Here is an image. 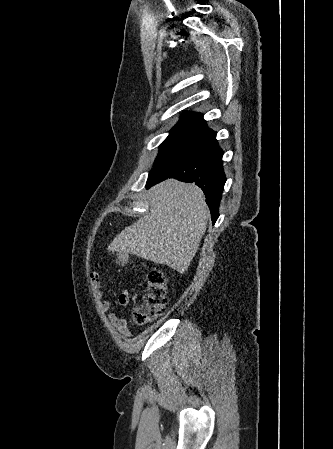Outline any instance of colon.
<instances>
[{
    "mask_svg": "<svg viewBox=\"0 0 333 449\" xmlns=\"http://www.w3.org/2000/svg\"><path fill=\"white\" fill-rule=\"evenodd\" d=\"M108 261L123 268L128 264L129 254L122 251H113L109 254ZM167 300V285L164 273L159 270L150 272L147 279V291L142 302L133 309V322L143 325L155 320L164 311Z\"/></svg>",
    "mask_w": 333,
    "mask_h": 449,
    "instance_id": "obj_1",
    "label": "colon"
}]
</instances>
